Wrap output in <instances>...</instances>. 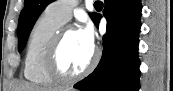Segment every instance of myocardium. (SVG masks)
Wrapping results in <instances>:
<instances>
[{"label": "myocardium", "mask_w": 173, "mask_h": 91, "mask_svg": "<svg viewBox=\"0 0 173 91\" xmlns=\"http://www.w3.org/2000/svg\"><path fill=\"white\" fill-rule=\"evenodd\" d=\"M77 31L75 27L71 25L62 26L58 32L53 36L50 43L47 46L43 67L45 73L54 81L59 83H71L80 80L90 74L99 59V51L93 48V54L89 64L79 73L69 74L63 71L59 65V53L61 45L69 32Z\"/></svg>", "instance_id": "f54148a6"}]
</instances>
